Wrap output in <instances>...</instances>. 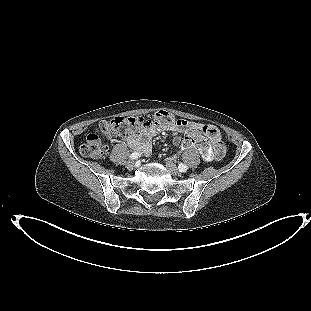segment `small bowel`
I'll use <instances>...</instances> for the list:
<instances>
[{"label": "small bowel", "instance_id": "obj_1", "mask_svg": "<svg viewBox=\"0 0 311 311\" xmlns=\"http://www.w3.org/2000/svg\"><path fill=\"white\" fill-rule=\"evenodd\" d=\"M186 130H201L204 132L210 138L213 148V158L219 160L222 157L224 153V145L222 142L221 134L218 128L212 124L188 122L187 127H179L172 124L153 125L150 127H144L138 132L126 135L125 140L132 149L141 152V154L145 156H148L151 153L152 138L169 131L174 133H181ZM173 143L182 147H189V145H187L186 142L183 141L178 135L173 137Z\"/></svg>", "mask_w": 311, "mask_h": 311}]
</instances>
